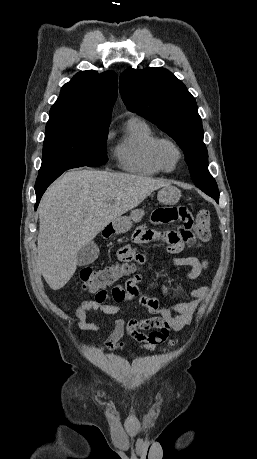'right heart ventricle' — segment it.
I'll return each mask as SVG.
<instances>
[{
    "label": "right heart ventricle",
    "mask_w": 257,
    "mask_h": 459,
    "mask_svg": "<svg viewBox=\"0 0 257 459\" xmlns=\"http://www.w3.org/2000/svg\"><path fill=\"white\" fill-rule=\"evenodd\" d=\"M154 129L139 117L131 118L125 133L115 147V156L121 169L139 175L153 176L163 172L152 156V147L158 139Z\"/></svg>",
    "instance_id": "obj_1"
}]
</instances>
